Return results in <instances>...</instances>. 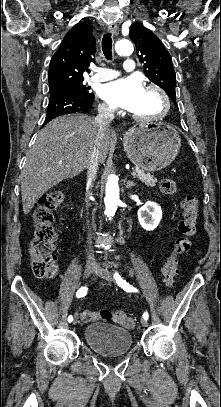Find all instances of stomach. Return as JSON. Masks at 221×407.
Wrapping results in <instances>:
<instances>
[{"label":"stomach","instance_id":"stomach-1","mask_svg":"<svg viewBox=\"0 0 221 407\" xmlns=\"http://www.w3.org/2000/svg\"><path fill=\"white\" fill-rule=\"evenodd\" d=\"M123 145L136 167L154 172L165 168L175 159L181 139L169 124H137L125 132Z\"/></svg>","mask_w":221,"mask_h":407}]
</instances>
